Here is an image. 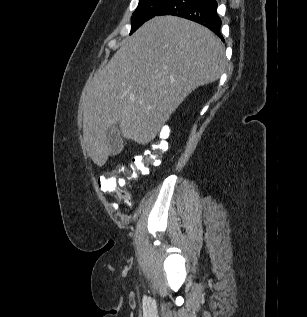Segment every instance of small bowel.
I'll list each match as a JSON object with an SVG mask.
<instances>
[{
    "instance_id": "1",
    "label": "small bowel",
    "mask_w": 307,
    "mask_h": 317,
    "mask_svg": "<svg viewBox=\"0 0 307 317\" xmlns=\"http://www.w3.org/2000/svg\"><path fill=\"white\" fill-rule=\"evenodd\" d=\"M124 202H125V203H129V202H130V196H129V194H127V198H126V200H125ZM110 206H111V208L114 209L115 211H118V209H119V205H118V203H116V202H111V203H110Z\"/></svg>"
}]
</instances>
